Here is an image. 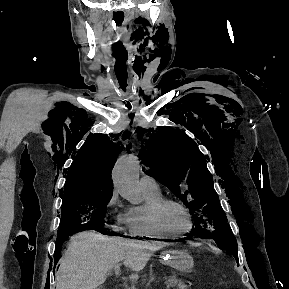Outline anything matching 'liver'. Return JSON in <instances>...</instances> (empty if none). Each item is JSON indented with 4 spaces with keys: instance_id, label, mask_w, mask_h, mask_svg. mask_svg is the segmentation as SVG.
Listing matches in <instances>:
<instances>
[{
    "instance_id": "6515ba94",
    "label": "liver",
    "mask_w": 289,
    "mask_h": 289,
    "mask_svg": "<svg viewBox=\"0 0 289 289\" xmlns=\"http://www.w3.org/2000/svg\"><path fill=\"white\" fill-rule=\"evenodd\" d=\"M163 245L80 232L60 260L56 289H97L105 282L108 271L121 261L133 272L130 278L136 280L153 252Z\"/></svg>"
}]
</instances>
